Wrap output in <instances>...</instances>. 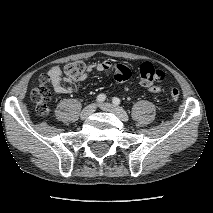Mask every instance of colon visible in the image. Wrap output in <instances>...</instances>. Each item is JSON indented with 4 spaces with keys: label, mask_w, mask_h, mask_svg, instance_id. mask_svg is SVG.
Masks as SVG:
<instances>
[{
    "label": "colon",
    "mask_w": 213,
    "mask_h": 213,
    "mask_svg": "<svg viewBox=\"0 0 213 213\" xmlns=\"http://www.w3.org/2000/svg\"><path fill=\"white\" fill-rule=\"evenodd\" d=\"M113 75L118 82H126L131 78V70L127 65L116 64L112 68ZM65 75L72 80H83L88 74V66L83 61H73L65 65ZM164 72L150 62H144L138 69L140 83L147 87L155 86L164 79ZM171 98L176 101L180 96L177 88L170 90ZM51 94L47 87V80L41 77L38 85L32 91V99L36 103V109L41 115L50 112L49 100Z\"/></svg>",
    "instance_id": "colon-1"
}]
</instances>
